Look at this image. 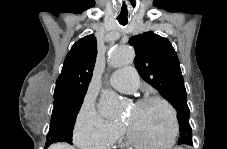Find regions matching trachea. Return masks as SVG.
<instances>
[{
	"mask_svg": "<svg viewBox=\"0 0 227 149\" xmlns=\"http://www.w3.org/2000/svg\"><path fill=\"white\" fill-rule=\"evenodd\" d=\"M119 24L122 25V26H125L127 25V21L125 20H118Z\"/></svg>",
	"mask_w": 227,
	"mask_h": 149,
	"instance_id": "3493384b",
	"label": "trachea"
}]
</instances>
